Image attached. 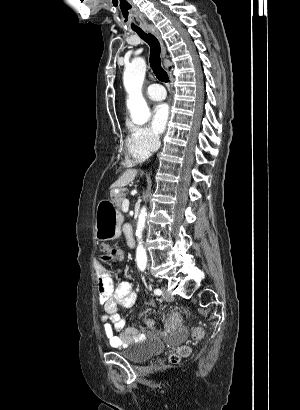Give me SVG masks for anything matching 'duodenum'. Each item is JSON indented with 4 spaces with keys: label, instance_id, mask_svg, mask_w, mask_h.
<instances>
[{
    "label": "duodenum",
    "instance_id": "410a0bca",
    "mask_svg": "<svg viewBox=\"0 0 300 410\" xmlns=\"http://www.w3.org/2000/svg\"><path fill=\"white\" fill-rule=\"evenodd\" d=\"M130 245L133 247V246H134V243L132 242Z\"/></svg>",
    "mask_w": 300,
    "mask_h": 410
}]
</instances>
